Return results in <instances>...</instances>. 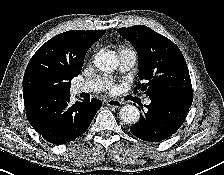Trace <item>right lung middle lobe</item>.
<instances>
[{
  "label": "right lung middle lobe",
  "instance_id": "right-lung-middle-lobe-1",
  "mask_svg": "<svg viewBox=\"0 0 224 175\" xmlns=\"http://www.w3.org/2000/svg\"><path fill=\"white\" fill-rule=\"evenodd\" d=\"M71 84L66 85H56L54 83L48 84L44 89V94H60V93H70Z\"/></svg>",
  "mask_w": 224,
  "mask_h": 175
}]
</instances>
